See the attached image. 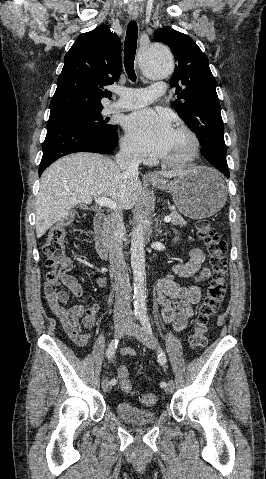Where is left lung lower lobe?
Returning <instances> with one entry per match:
<instances>
[{
    "instance_id": "left-lung-lower-lobe-1",
    "label": "left lung lower lobe",
    "mask_w": 266,
    "mask_h": 479,
    "mask_svg": "<svg viewBox=\"0 0 266 479\" xmlns=\"http://www.w3.org/2000/svg\"><path fill=\"white\" fill-rule=\"evenodd\" d=\"M218 170H220L227 178H229L230 174L228 168H220Z\"/></svg>"
}]
</instances>
